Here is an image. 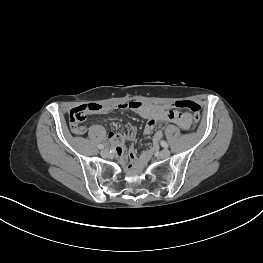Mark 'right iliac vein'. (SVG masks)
Masks as SVG:
<instances>
[{
    "instance_id": "right-iliac-vein-1",
    "label": "right iliac vein",
    "mask_w": 263,
    "mask_h": 263,
    "mask_svg": "<svg viewBox=\"0 0 263 263\" xmlns=\"http://www.w3.org/2000/svg\"><path fill=\"white\" fill-rule=\"evenodd\" d=\"M108 155H109V151H108L107 149H103V150L101 151V156H103V157H108Z\"/></svg>"
}]
</instances>
